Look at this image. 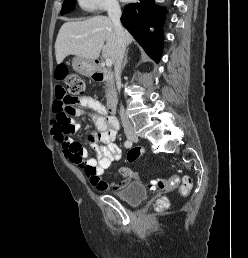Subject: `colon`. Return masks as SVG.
Segmentation results:
<instances>
[{
    "label": "colon",
    "mask_w": 248,
    "mask_h": 258,
    "mask_svg": "<svg viewBox=\"0 0 248 258\" xmlns=\"http://www.w3.org/2000/svg\"><path fill=\"white\" fill-rule=\"evenodd\" d=\"M67 92L65 95L57 98L55 103L56 119L55 123L58 125L59 132L63 134H70L73 132V125L71 122V115L73 113V105L77 101V97L83 95L85 92L84 80L78 75H69L65 78ZM130 152L127 155L129 162H134L138 157L145 154L144 144H135L130 147ZM88 177L95 176L93 169H85ZM179 183V177L172 174L168 177H159L150 182V186L154 190H170L175 188ZM192 187V180L189 177L183 178V183L180 192L186 195ZM167 206L166 199H160L157 203L158 209H164Z\"/></svg>",
    "instance_id": "5ec220e1"
}]
</instances>
